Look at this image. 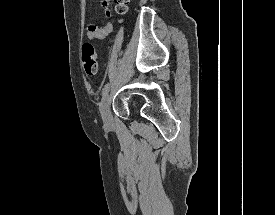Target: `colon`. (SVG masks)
I'll list each match as a JSON object with an SVG mask.
<instances>
[{
	"mask_svg": "<svg viewBox=\"0 0 275 215\" xmlns=\"http://www.w3.org/2000/svg\"><path fill=\"white\" fill-rule=\"evenodd\" d=\"M116 11L118 14H124L127 11L129 0H115ZM81 61L86 75L94 76L98 71V52L96 47L86 42L82 46Z\"/></svg>",
	"mask_w": 275,
	"mask_h": 215,
	"instance_id": "1",
	"label": "colon"
}]
</instances>
